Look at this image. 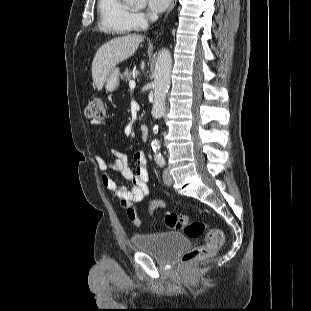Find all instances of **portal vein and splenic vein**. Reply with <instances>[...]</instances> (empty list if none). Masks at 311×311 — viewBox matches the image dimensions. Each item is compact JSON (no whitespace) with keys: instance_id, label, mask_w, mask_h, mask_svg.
<instances>
[{"instance_id":"1","label":"portal vein and splenic vein","mask_w":311,"mask_h":311,"mask_svg":"<svg viewBox=\"0 0 311 311\" xmlns=\"http://www.w3.org/2000/svg\"><path fill=\"white\" fill-rule=\"evenodd\" d=\"M135 86H136L135 81H133V80L129 81V87H130L131 89H134Z\"/></svg>"}]
</instances>
